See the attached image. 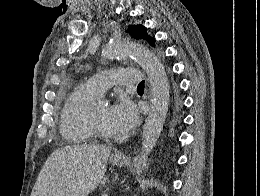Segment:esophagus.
Returning a JSON list of instances; mask_svg holds the SVG:
<instances>
[{
	"label": "esophagus",
	"mask_w": 260,
	"mask_h": 196,
	"mask_svg": "<svg viewBox=\"0 0 260 196\" xmlns=\"http://www.w3.org/2000/svg\"><path fill=\"white\" fill-rule=\"evenodd\" d=\"M126 157L125 153L121 150L115 151L113 158L114 159H124Z\"/></svg>",
	"instance_id": "obj_1"
}]
</instances>
